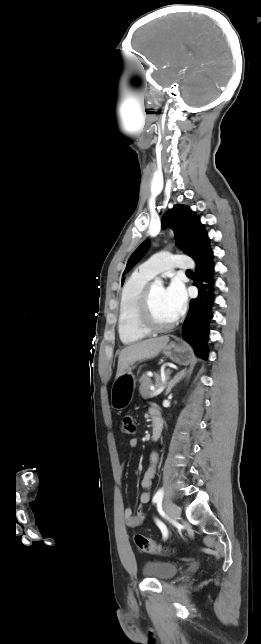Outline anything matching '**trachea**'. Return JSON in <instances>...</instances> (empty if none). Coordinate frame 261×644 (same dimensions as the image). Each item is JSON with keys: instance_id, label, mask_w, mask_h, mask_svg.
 Segmentation results:
<instances>
[{"instance_id": "3493384b", "label": "trachea", "mask_w": 261, "mask_h": 644, "mask_svg": "<svg viewBox=\"0 0 261 644\" xmlns=\"http://www.w3.org/2000/svg\"><path fill=\"white\" fill-rule=\"evenodd\" d=\"M186 272H187V273H193L191 270H187Z\"/></svg>"}]
</instances>
